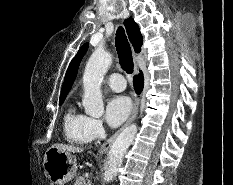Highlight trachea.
Masks as SVG:
<instances>
[{
	"mask_svg": "<svg viewBox=\"0 0 233 185\" xmlns=\"http://www.w3.org/2000/svg\"><path fill=\"white\" fill-rule=\"evenodd\" d=\"M116 50L119 58L120 65L122 69L128 73H133V59L132 52L128 42V39L125 35V31L122 27H119L116 32Z\"/></svg>",
	"mask_w": 233,
	"mask_h": 185,
	"instance_id": "obj_1",
	"label": "trachea"
}]
</instances>
